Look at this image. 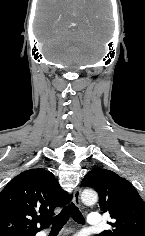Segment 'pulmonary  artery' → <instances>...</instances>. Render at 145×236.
<instances>
[{
	"mask_svg": "<svg viewBox=\"0 0 145 236\" xmlns=\"http://www.w3.org/2000/svg\"><path fill=\"white\" fill-rule=\"evenodd\" d=\"M87 223L90 227H100L103 225V220L100 214L91 213L87 217Z\"/></svg>",
	"mask_w": 145,
	"mask_h": 236,
	"instance_id": "e3ab8cb5",
	"label": "pulmonary artery"
}]
</instances>
